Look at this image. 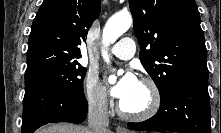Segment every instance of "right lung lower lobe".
Wrapping results in <instances>:
<instances>
[{
  "label": "right lung lower lobe",
  "instance_id": "98d812e1",
  "mask_svg": "<svg viewBox=\"0 0 221 133\" xmlns=\"http://www.w3.org/2000/svg\"><path fill=\"white\" fill-rule=\"evenodd\" d=\"M88 103L83 94H72L47 83L25 81L22 133H33L47 123L80 124L87 115Z\"/></svg>",
  "mask_w": 221,
  "mask_h": 133
}]
</instances>
